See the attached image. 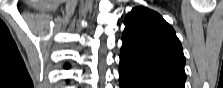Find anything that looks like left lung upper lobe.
<instances>
[{"mask_svg": "<svg viewBox=\"0 0 223 88\" xmlns=\"http://www.w3.org/2000/svg\"><path fill=\"white\" fill-rule=\"evenodd\" d=\"M120 65L138 74L185 88V57L174 29L158 13L135 7L124 19Z\"/></svg>", "mask_w": 223, "mask_h": 88, "instance_id": "5c2ea615", "label": "left lung upper lobe"}]
</instances>
